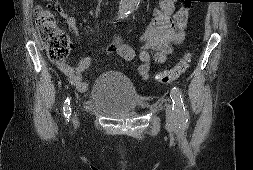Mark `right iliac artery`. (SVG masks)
Listing matches in <instances>:
<instances>
[{
	"label": "right iliac artery",
	"mask_w": 253,
	"mask_h": 170,
	"mask_svg": "<svg viewBox=\"0 0 253 170\" xmlns=\"http://www.w3.org/2000/svg\"><path fill=\"white\" fill-rule=\"evenodd\" d=\"M70 99L67 97V99L65 100V105L63 107L64 110V116L69 118V116L71 115V108H70Z\"/></svg>",
	"instance_id": "right-iliac-artery-1"
}]
</instances>
